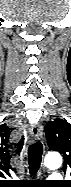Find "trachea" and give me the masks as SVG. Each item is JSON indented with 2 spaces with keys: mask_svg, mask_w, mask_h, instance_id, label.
I'll list each match as a JSON object with an SVG mask.
<instances>
[{
  "mask_svg": "<svg viewBox=\"0 0 71 187\" xmlns=\"http://www.w3.org/2000/svg\"><path fill=\"white\" fill-rule=\"evenodd\" d=\"M43 154V146L37 141L29 146L28 149V162H29V171L31 175H34L39 170Z\"/></svg>",
  "mask_w": 71,
  "mask_h": 187,
  "instance_id": "3493384b",
  "label": "trachea"
}]
</instances>
